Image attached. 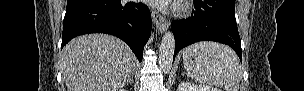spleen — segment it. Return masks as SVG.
<instances>
[{
  "instance_id": "3e777b00",
  "label": "spleen",
  "mask_w": 304,
  "mask_h": 91,
  "mask_svg": "<svg viewBox=\"0 0 304 91\" xmlns=\"http://www.w3.org/2000/svg\"><path fill=\"white\" fill-rule=\"evenodd\" d=\"M183 64L194 81L213 85L226 91H238L241 66L236 53L216 42H199L183 54Z\"/></svg>"
}]
</instances>
